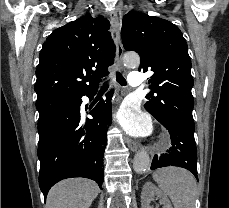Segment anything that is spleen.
I'll return each instance as SVG.
<instances>
[{"instance_id": "obj_1", "label": "spleen", "mask_w": 229, "mask_h": 208, "mask_svg": "<svg viewBox=\"0 0 229 208\" xmlns=\"http://www.w3.org/2000/svg\"><path fill=\"white\" fill-rule=\"evenodd\" d=\"M164 194L169 196L174 208H195L197 184L194 176L183 168H160L153 174Z\"/></svg>"}]
</instances>
